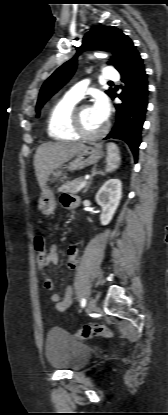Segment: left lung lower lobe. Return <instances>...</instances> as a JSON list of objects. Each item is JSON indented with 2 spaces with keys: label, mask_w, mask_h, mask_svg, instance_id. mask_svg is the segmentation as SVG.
<instances>
[{
  "label": "left lung lower lobe",
  "mask_w": 168,
  "mask_h": 415,
  "mask_svg": "<svg viewBox=\"0 0 168 415\" xmlns=\"http://www.w3.org/2000/svg\"><path fill=\"white\" fill-rule=\"evenodd\" d=\"M120 74L124 82L123 90L117 94L114 89L110 97H119L122 103L115 105L116 122L104 139H120L126 142L136 161L148 104L147 74L139 53Z\"/></svg>",
  "instance_id": "left-lung-lower-lobe-1"
}]
</instances>
